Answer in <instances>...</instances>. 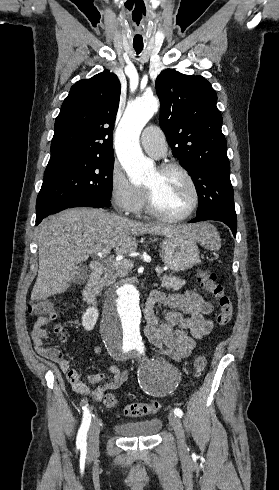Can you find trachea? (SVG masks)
<instances>
[{
	"label": "trachea",
	"instance_id": "trachea-1",
	"mask_svg": "<svg viewBox=\"0 0 279 490\" xmlns=\"http://www.w3.org/2000/svg\"><path fill=\"white\" fill-rule=\"evenodd\" d=\"M134 49L136 50L137 53H139V52H141V50L143 49V47L134 46Z\"/></svg>",
	"mask_w": 279,
	"mask_h": 490
}]
</instances>
